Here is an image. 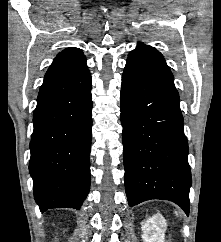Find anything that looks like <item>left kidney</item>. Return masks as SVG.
Wrapping results in <instances>:
<instances>
[{"instance_id": "5707ae66", "label": "left kidney", "mask_w": 221, "mask_h": 242, "mask_svg": "<svg viewBox=\"0 0 221 242\" xmlns=\"http://www.w3.org/2000/svg\"><path fill=\"white\" fill-rule=\"evenodd\" d=\"M167 223L161 214H156L142 223L143 242H165Z\"/></svg>"}]
</instances>
